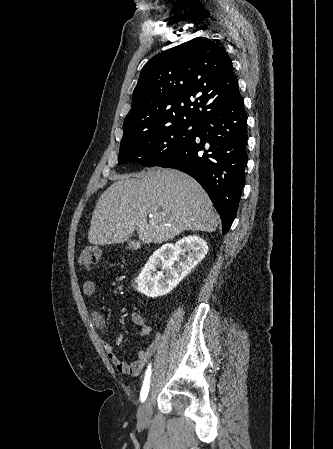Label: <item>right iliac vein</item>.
<instances>
[{
    "label": "right iliac vein",
    "instance_id": "obj_1",
    "mask_svg": "<svg viewBox=\"0 0 333 449\" xmlns=\"http://www.w3.org/2000/svg\"><path fill=\"white\" fill-rule=\"evenodd\" d=\"M151 413H152V404L151 398L149 396L147 400L143 403V405L139 408L138 424L141 426H146L147 424H149L151 420Z\"/></svg>",
    "mask_w": 333,
    "mask_h": 449
}]
</instances>
